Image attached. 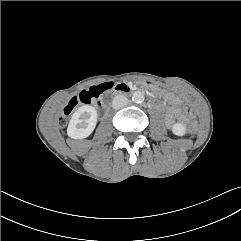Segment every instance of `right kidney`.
Wrapping results in <instances>:
<instances>
[{
	"label": "right kidney",
	"mask_w": 241,
	"mask_h": 241,
	"mask_svg": "<svg viewBox=\"0 0 241 241\" xmlns=\"http://www.w3.org/2000/svg\"><path fill=\"white\" fill-rule=\"evenodd\" d=\"M97 124V110L90 105L79 107L72 115L67 134L72 139H83L88 137Z\"/></svg>",
	"instance_id": "1"
}]
</instances>
